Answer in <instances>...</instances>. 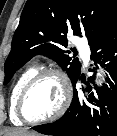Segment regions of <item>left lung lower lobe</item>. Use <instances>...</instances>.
<instances>
[{"mask_svg": "<svg viewBox=\"0 0 117 136\" xmlns=\"http://www.w3.org/2000/svg\"><path fill=\"white\" fill-rule=\"evenodd\" d=\"M90 49L91 58L96 62L101 65L108 62L103 65L109 72L106 80L108 84L95 88L96 94L86 84L88 88L82 89L83 96L75 88L76 82L82 80L79 75L72 82L74 96L66 113L53 123L32 129L53 136H117V19L90 45Z\"/></svg>", "mask_w": 117, "mask_h": 136, "instance_id": "obj_1", "label": "left lung lower lobe"}]
</instances>
